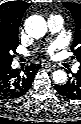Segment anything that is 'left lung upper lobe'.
Segmentation results:
<instances>
[{"instance_id":"left-lung-upper-lobe-1","label":"left lung upper lobe","mask_w":81,"mask_h":124,"mask_svg":"<svg viewBox=\"0 0 81 124\" xmlns=\"http://www.w3.org/2000/svg\"><path fill=\"white\" fill-rule=\"evenodd\" d=\"M63 5L71 12L75 21V35L72 44V52L79 62H81V4L64 2Z\"/></svg>"}]
</instances>
